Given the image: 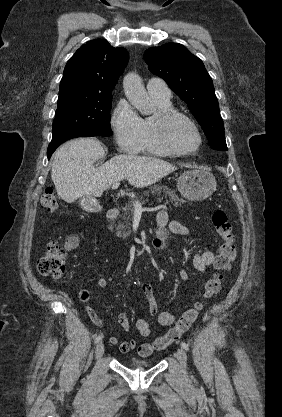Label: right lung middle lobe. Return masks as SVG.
I'll return each instance as SVG.
<instances>
[{
	"label": "right lung middle lobe",
	"instance_id": "1",
	"mask_svg": "<svg viewBox=\"0 0 282 417\" xmlns=\"http://www.w3.org/2000/svg\"><path fill=\"white\" fill-rule=\"evenodd\" d=\"M111 92L75 91L59 93L53 122V137L69 131L110 136Z\"/></svg>",
	"mask_w": 282,
	"mask_h": 417
}]
</instances>
